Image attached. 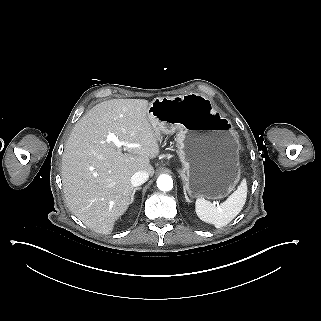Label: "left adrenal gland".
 <instances>
[{"label":"left adrenal gland","mask_w":321,"mask_h":321,"mask_svg":"<svg viewBox=\"0 0 321 321\" xmlns=\"http://www.w3.org/2000/svg\"><path fill=\"white\" fill-rule=\"evenodd\" d=\"M184 195H185V199H186V200H189L186 191H184Z\"/></svg>","instance_id":"left-adrenal-gland-1"}]
</instances>
